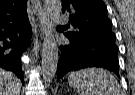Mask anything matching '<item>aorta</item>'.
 Instances as JSON below:
<instances>
[{
	"label": "aorta",
	"mask_w": 135,
	"mask_h": 95,
	"mask_svg": "<svg viewBox=\"0 0 135 95\" xmlns=\"http://www.w3.org/2000/svg\"><path fill=\"white\" fill-rule=\"evenodd\" d=\"M60 12V0L44 1L43 16L45 20V37L42 46V75L45 84L52 82L57 70L59 57L54 29Z\"/></svg>",
	"instance_id": "1"
}]
</instances>
